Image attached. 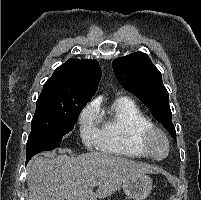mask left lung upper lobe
Segmentation results:
<instances>
[{"label":"left lung upper lobe","instance_id":"obj_1","mask_svg":"<svg viewBox=\"0 0 201 200\" xmlns=\"http://www.w3.org/2000/svg\"><path fill=\"white\" fill-rule=\"evenodd\" d=\"M113 71L118 82L150 109V112L176 140L169 94L162 82L159 70L147 54L135 52L113 61Z\"/></svg>","mask_w":201,"mask_h":200}]
</instances>
